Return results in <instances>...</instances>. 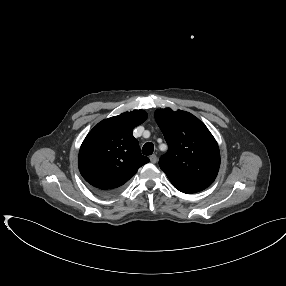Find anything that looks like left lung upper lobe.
<instances>
[{"mask_svg":"<svg viewBox=\"0 0 286 286\" xmlns=\"http://www.w3.org/2000/svg\"><path fill=\"white\" fill-rule=\"evenodd\" d=\"M155 120L169 146L159 166L173 186L186 194L204 190L220 167L216 140L194 115L170 108L155 111Z\"/></svg>","mask_w":286,"mask_h":286,"instance_id":"1","label":"left lung upper lobe"}]
</instances>
